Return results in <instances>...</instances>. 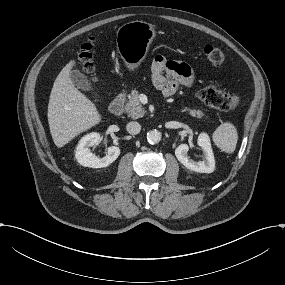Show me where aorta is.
<instances>
[{
  "mask_svg": "<svg viewBox=\"0 0 285 285\" xmlns=\"http://www.w3.org/2000/svg\"><path fill=\"white\" fill-rule=\"evenodd\" d=\"M147 140L150 144H157L161 140V133L157 130H151L147 133Z\"/></svg>",
  "mask_w": 285,
  "mask_h": 285,
  "instance_id": "obj_1",
  "label": "aorta"
}]
</instances>
